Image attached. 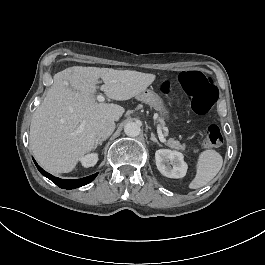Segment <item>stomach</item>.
Instances as JSON below:
<instances>
[{"label":"stomach","instance_id":"1","mask_svg":"<svg viewBox=\"0 0 265 265\" xmlns=\"http://www.w3.org/2000/svg\"><path fill=\"white\" fill-rule=\"evenodd\" d=\"M137 99L155 109L160 114L162 120H170L171 111L163 101L162 97L156 92L150 89H145L137 95Z\"/></svg>","mask_w":265,"mask_h":265}]
</instances>
